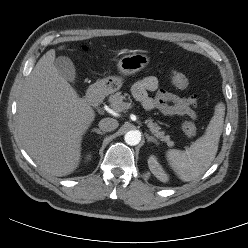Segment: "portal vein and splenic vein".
Segmentation results:
<instances>
[{"instance_id": "obj_1", "label": "portal vein and splenic vein", "mask_w": 248, "mask_h": 248, "mask_svg": "<svg viewBox=\"0 0 248 248\" xmlns=\"http://www.w3.org/2000/svg\"><path fill=\"white\" fill-rule=\"evenodd\" d=\"M124 107H125V108H130V103H125V104H124Z\"/></svg>"}]
</instances>
